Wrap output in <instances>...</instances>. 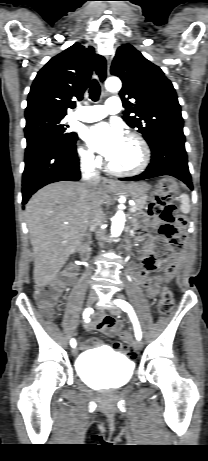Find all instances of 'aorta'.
<instances>
[{"instance_id":"762f6f07","label":"aorta","mask_w":208,"mask_h":461,"mask_svg":"<svg viewBox=\"0 0 208 461\" xmlns=\"http://www.w3.org/2000/svg\"><path fill=\"white\" fill-rule=\"evenodd\" d=\"M106 90L109 92H118L121 87L122 83L119 78L117 77H110L105 82ZM125 214L122 210V206H119V210L116 212L114 217L112 218V225H111V234L113 237H118L123 231L124 224H125Z\"/></svg>"}]
</instances>
